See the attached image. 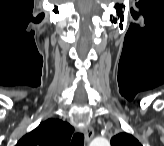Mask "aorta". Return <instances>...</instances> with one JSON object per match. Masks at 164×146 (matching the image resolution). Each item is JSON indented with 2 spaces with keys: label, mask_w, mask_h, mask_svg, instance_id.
<instances>
[{
  "label": "aorta",
  "mask_w": 164,
  "mask_h": 146,
  "mask_svg": "<svg viewBox=\"0 0 164 146\" xmlns=\"http://www.w3.org/2000/svg\"><path fill=\"white\" fill-rule=\"evenodd\" d=\"M91 146H109V141L105 138H96L91 142Z\"/></svg>",
  "instance_id": "762f6f07"
}]
</instances>
